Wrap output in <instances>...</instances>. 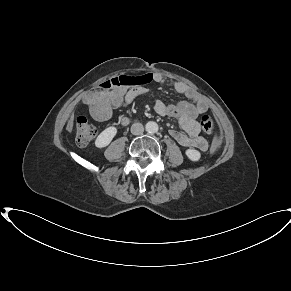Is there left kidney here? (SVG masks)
<instances>
[{"mask_svg":"<svg viewBox=\"0 0 291 291\" xmlns=\"http://www.w3.org/2000/svg\"><path fill=\"white\" fill-rule=\"evenodd\" d=\"M185 154L191 161L194 162L199 161L201 158V153L195 149H187Z\"/></svg>","mask_w":291,"mask_h":291,"instance_id":"obj_1","label":"left kidney"}]
</instances>
